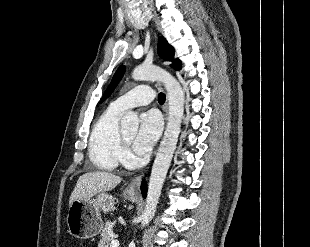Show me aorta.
Wrapping results in <instances>:
<instances>
[{
  "mask_svg": "<svg viewBox=\"0 0 310 247\" xmlns=\"http://www.w3.org/2000/svg\"><path fill=\"white\" fill-rule=\"evenodd\" d=\"M132 78L136 81H161L167 90L169 115L164 137L160 143L154 164L152 167L145 209L141 215V226L150 223L161 195L163 183L176 149L181 122L184 114V92L179 82L168 72L156 66L141 65L132 72ZM122 129L137 130L139 118L134 112H127L120 123Z\"/></svg>",
  "mask_w": 310,
  "mask_h": 247,
  "instance_id": "aorta-1",
  "label": "aorta"
}]
</instances>
